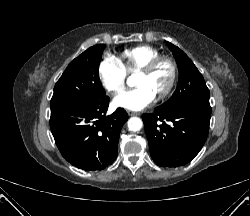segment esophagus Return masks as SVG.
<instances>
[{
  "label": "esophagus",
  "mask_w": 250,
  "mask_h": 216,
  "mask_svg": "<svg viewBox=\"0 0 250 216\" xmlns=\"http://www.w3.org/2000/svg\"><path fill=\"white\" fill-rule=\"evenodd\" d=\"M137 114L136 112H133V111H128V115L132 116V115H135Z\"/></svg>",
  "instance_id": "esophagus-1"
}]
</instances>
